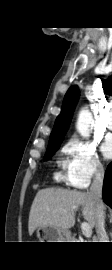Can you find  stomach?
<instances>
[{
    "mask_svg": "<svg viewBox=\"0 0 112 270\" xmlns=\"http://www.w3.org/2000/svg\"><path fill=\"white\" fill-rule=\"evenodd\" d=\"M36 235L40 242H70L71 240L69 230L50 226L38 227Z\"/></svg>",
    "mask_w": 112,
    "mask_h": 270,
    "instance_id": "obj_1",
    "label": "stomach"
}]
</instances>
